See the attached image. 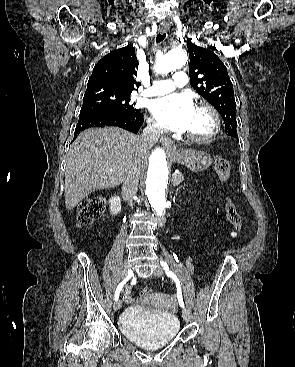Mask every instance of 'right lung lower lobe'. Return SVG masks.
Wrapping results in <instances>:
<instances>
[{"label":"right lung lower lobe","instance_id":"1","mask_svg":"<svg viewBox=\"0 0 295 367\" xmlns=\"http://www.w3.org/2000/svg\"><path fill=\"white\" fill-rule=\"evenodd\" d=\"M144 122L143 113H88L79 115L74 139L79 133L91 127L117 126L135 134Z\"/></svg>","mask_w":295,"mask_h":367}]
</instances>
